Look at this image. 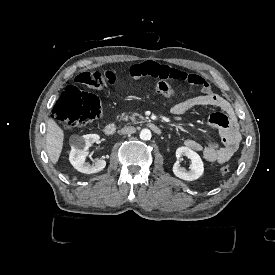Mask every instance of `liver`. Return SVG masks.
Wrapping results in <instances>:
<instances>
[{"mask_svg":"<svg viewBox=\"0 0 275 275\" xmlns=\"http://www.w3.org/2000/svg\"><path fill=\"white\" fill-rule=\"evenodd\" d=\"M64 132L53 119L47 122L46 152L50 161L56 164L63 147Z\"/></svg>","mask_w":275,"mask_h":275,"instance_id":"6515ba94","label":"liver"}]
</instances>
